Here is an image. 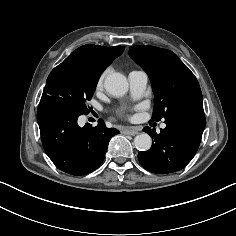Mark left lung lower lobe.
<instances>
[{"instance_id": "left-lung-lower-lobe-1", "label": "left lung lower lobe", "mask_w": 236, "mask_h": 236, "mask_svg": "<svg viewBox=\"0 0 236 236\" xmlns=\"http://www.w3.org/2000/svg\"><path fill=\"white\" fill-rule=\"evenodd\" d=\"M165 123L160 134L150 127L143 129L154 141L148 151L138 153L141 165L158 174L179 171L192 160L206 126L203 107L181 108L168 115Z\"/></svg>"}]
</instances>
